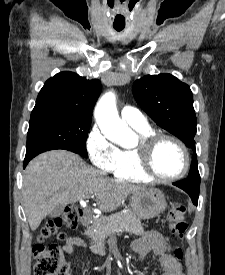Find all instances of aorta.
I'll return each instance as SVG.
<instances>
[{
	"mask_svg": "<svg viewBox=\"0 0 225 275\" xmlns=\"http://www.w3.org/2000/svg\"><path fill=\"white\" fill-rule=\"evenodd\" d=\"M94 115L106 138L124 148H131L136 145V134L119 117L114 92L109 91L100 98L95 107Z\"/></svg>",
	"mask_w": 225,
	"mask_h": 275,
	"instance_id": "obj_1",
	"label": "aorta"
}]
</instances>
